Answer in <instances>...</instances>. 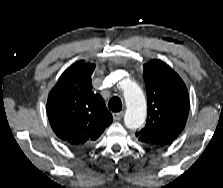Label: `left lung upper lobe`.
<instances>
[{"instance_id": "1", "label": "left lung upper lobe", "mask_w": 223, "mask_h": 188, "mask_svg": "<svg viewBox=\"0 0 223 188\" xmlns=\"http://www.w3.org/2000/svg\"><path fill=\"white\" fill-rule=\"evenodd\" d=\"M143 67L148 117L136 137L147 147L162 148L184 129L190 104L188 90L179 75L164 62L154 59Z\"/></svg>"}]
</instances>
